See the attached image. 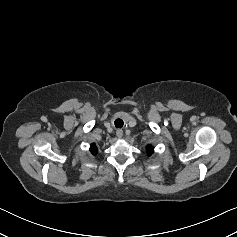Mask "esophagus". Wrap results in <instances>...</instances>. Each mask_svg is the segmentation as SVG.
<instances>
[{
    "instance_id": "34e87169",
    "label": "esophagus",
    "mask_w": 237,
    "mask_h": 237,
    "mask_svg": "<svg viewBox=\"0 0 237 237\" xmlns=\"http://www.w3.org/2000/svg\"><path fill=\"white\" fill-rule=\"evenodd\" d=\"M116 135H117L118 138H121L123 136V131L121 129H118L116 131Z\"/></svg>"
}]
</instances>
